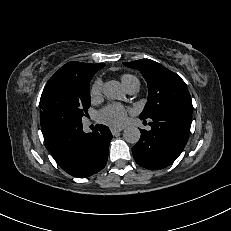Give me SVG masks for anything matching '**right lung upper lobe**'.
<instances>
[{
  "instance_id": "cb5924a9",
  "label": "right lung upper lobe",
  "mask_w": 231,
  "mask_h": 231,
  "mask_svg": "<svg viewBox=\"0 0 231 231\" xmlns=\"http://www.w3.org/2000/svg\"><path fill=\"white\" fill-rule=\"evenodd\" d=\"M104 66L105 64H90L72 61L62 66L55 75L93 76Z\"/></svg>"
}]
</instances>
